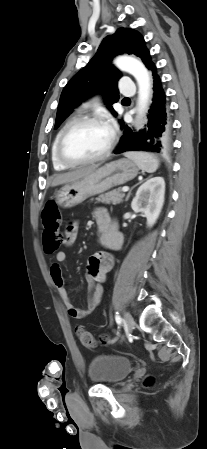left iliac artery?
Segmentation results:
<instances>
[{
  "instance_id": "left-iliac-artery-1",
  "label": "left iliac artery",
  "mask_w": 207,
  "mask_h": 449,
  "mask_svg": "<svg viewBox=\"0 0 207 449\" xmlns=\"http://www.w3.org/2000/svg\"><path fill=\"white\" fill-rule=\"evenodd\" d=\"M115 320H116L118 325L121 324L122 319H121V317H120V315L118 313H116V315H115Z\"/></svg>"
}]
</instances>
